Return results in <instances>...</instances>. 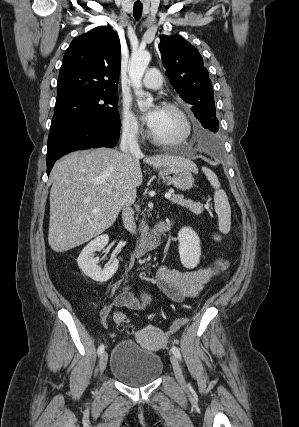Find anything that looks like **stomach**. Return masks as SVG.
<instances>
[{"label":"stomach","instance_id":"obj_1","mask_svg":"<svg viewBox=\"0 0 299 427\" xmlns=\"http://www.w3.org/2000/svg\"><path fill=\"white\" fill-rule=\"evenodd\" d=\"M159 175L165 182L182 191L191 189L194 184L192 171L183 167H165L160 169Z\"/></svg>","mask_w":299,"mask_h":427}]
</instances>
